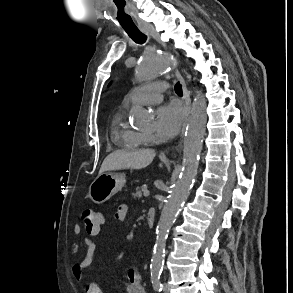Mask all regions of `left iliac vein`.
<instances>
[{
  "mask_svg": "<svg viewBox=\"0 0 293 293\" xmlns=\"http://www.w3.org/2000/svg\"><path fill=\"white\" fill-rule=\"evenodd\" d=\"M163 293H169V287L166 283L163 285Z\"/></svg>",
  "mask_w": 293,
  "mask_h": 293,
  "instance_id": "obj_1",
  "label": "left iliac vein"
}]
</instances>
